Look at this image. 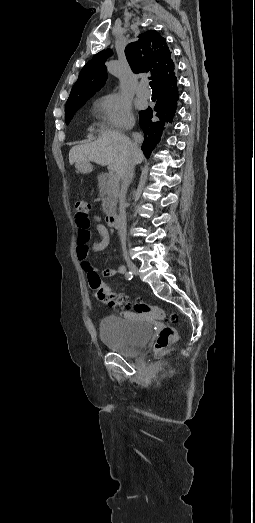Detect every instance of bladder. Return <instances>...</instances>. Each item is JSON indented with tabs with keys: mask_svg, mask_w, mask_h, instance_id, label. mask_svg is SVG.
Returning <instances> with one entry per match:
<instances>
[{
	"mask_svg": "<svg viewBox=\"0 0 255 523\" xmlns=\"http://www.w3.org/2000/svg\"><path fill=\"white\" fill-rule=\"evenodd\" d=\"M132 321L129 326H125L120 320L102 318L99 333L105 345L124 355L137 354L148 342L152 326L138 318Z\"/></svg>",
	"mask_w": 255,
	"mask_h": 523,
	"instance_id": "1",
	"label": "bladder"
}]
</instances>
